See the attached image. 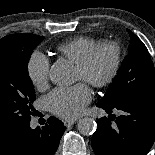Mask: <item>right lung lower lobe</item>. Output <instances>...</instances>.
I'll use <instances>...</instances> for the list:
<instances>
[{"label": "right lung lower lobe", "mask_w": 155, "mask_h": 155, "mask_svg": "<svg viewBox=\"0 0 155 155\" xmlns=\"http://www.w3.org/2000/svg\"><path fill=\"white\" fill-rule=\"evenodd\" d=\"M65 128L60 120L50 117L42 128L31 129L28 124L0 134V155H53Z\"/></svg>", "instance_id": "98d812e1"}]
</instances>
